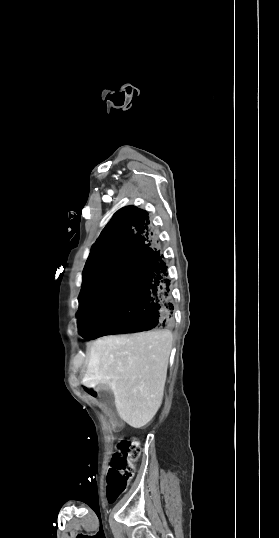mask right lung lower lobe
<instances>
[{"label":"right lung lower lobe","mask_w":279,"mask_h":538,"mask_svg":"<svg viewBox=\"0 0 279 538\" xmlns=\"http://www.w3.org/2000/svg\"><path fill=\"white\" fill-rule=\"evenodd\" d=\"M148 212L119 210L92 246L83 271L78 327L82 337L171 329L170 280Z\"/></svg>","instance_id":"98d812e1"}]
</instances>
